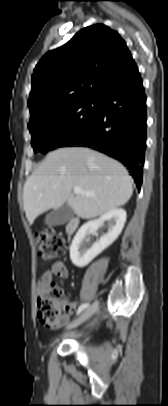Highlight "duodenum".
I'll return each instance as SVG.
<instances>
[{
  "label": "duodenum",
  "mask_w": 168,
  "mask_h": 406,
  "mask_svg": "<svg viewBox=\"0 0 168 406\" xmlns=\"http://www.w3.org/2000/svg\"><path fill=\"white\" fill-rule=\"evenodd\" d=\"M80 220L78 217H73L67 224L66 232L68 235H72L78 228Z\"/></svg>",
  "instance_id": "410a0bca"
}]
</instances>
